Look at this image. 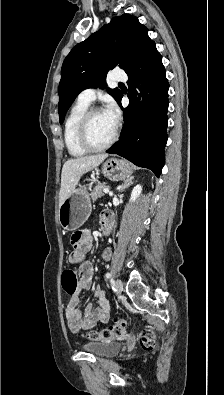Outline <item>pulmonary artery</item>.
Returning a JSON list of instances; mask_svg holds the SVG:
<instances>
[{"instance_id":"1","label":"pulmonary artery","mask_w":224,"mask_h":395,"mask_svg":"<svg viewBox=\"0 0 224 395\" xmlns=\"http://www.w3.org/2000/svg\"><path fill=\"white\" fill-rule=\"evenodd\" d=\"M112 80L126 81L127 74L123 70H114ZM95 98H96V90L94 88L85 89L78 95V101L85 103V104L92 103L95 100Z\"/></svg>"}]
</instances>
